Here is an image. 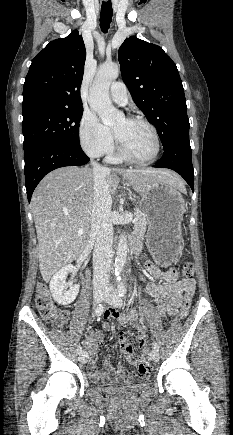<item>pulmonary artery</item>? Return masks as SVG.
Returning <instances> with one entry per match:
<instances>
[{
	"label": "pulmonary artery",
	"mask_w": 233,
	"mask_h": 435,
	"mask_svg": "<svg viewBox=\"0 0 233 435\" xmlns=\"http://www.w3.org/2000/svg\"><path fill=\"white\" fill-rule=\"evenodd\" d=\"M110 97L116 103L125 105L128 101L127 90L122 82H114L110 87Z\"/></svg>",
	"instance_id": "obj_1"
}]
</instances>
